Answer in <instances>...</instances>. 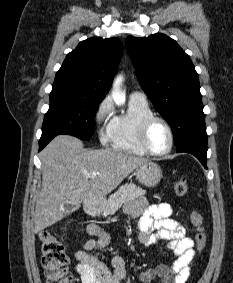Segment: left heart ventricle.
<instances>
[{
  "label": "left heart ventricle",
  "instance_id": "b2bd125f",
  "mask_svg": "<svg viewBox=\"0 0 233 283\" xmlns=\"http://www.w3.org/2000/svg\"><path fill=\"white\" fill-rule=\"evenodd\" d=\"M169 133L161 122H154L147 133V143L155 152H162L169 146Z\"/></svg>",
  "mask_w": 233,
  "mask_h": 283
}]
</instances>
